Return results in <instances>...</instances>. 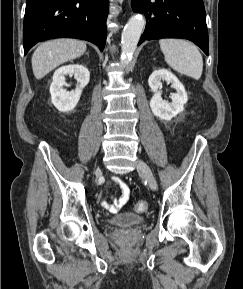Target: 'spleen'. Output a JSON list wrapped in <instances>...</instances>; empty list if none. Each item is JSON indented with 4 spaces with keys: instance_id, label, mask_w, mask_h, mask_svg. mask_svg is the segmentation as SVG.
Returning <instances> with one entry per match:
<instances>
[{
    "instance_id": "spleen-1",
    "label": "spleen",
    "mask_w": 243,
    "mask_h": 289,
    "mask_svg": "<svg viewBox=\"0 0 243 289\" xmlns=\"http://www.w3.org/2000/svg\"><path fill=\"white\" fill-rule=\"evenodd\" d=\"M159 43L165 61L172 69L196 80L200 79L203 59L193 43L182 39H161Z\"/></svg>"
}]
</instances>
